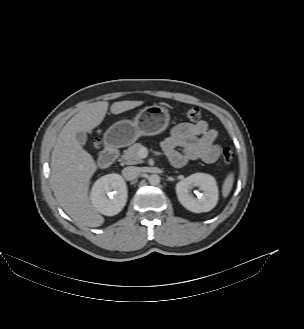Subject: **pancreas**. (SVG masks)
<instances>
[{"label":"pancreas","instance_id":"pancreas-1","mask_svg":"<svg viewBox=\"0 0 304 329\" xmlns=\"http://www.w3.org/2000/svg\"><path fill=\"white\" fill-rule=\"evenodd\" d=\"M144 146L140 143H135L128 149L124 150L122 155V161L125 164H139L142 162L141 158L138 156V151Z\"/></svg>","mask_w":304,"mask_h":329}]
</instances>
